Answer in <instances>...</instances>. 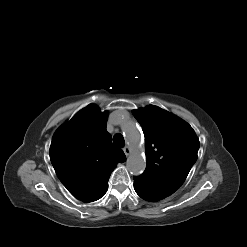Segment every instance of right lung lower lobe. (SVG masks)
I'll list each match as a JSON object with an SVG mask.
<instances>
[{
	"label": "right lung lower lobe",
	"mask_w": 247,
	"mask_h": 247,
	"mask_svg": "<svg viewBox=\"0 0 247 247\" xmlns=\"http://www.w3.org/2000/svg\"><path fill=\"white\" fill-rule=\"evenodd\" d=\"M107 189H108V188H107ZM107 189L99 196V198H101V197L106 193ZM99 198H98V199H99ZM98 199H97V200H98Z\"/></svg>",
	"instance_id": "98d812e1"
}]
</instances>
